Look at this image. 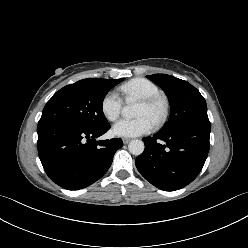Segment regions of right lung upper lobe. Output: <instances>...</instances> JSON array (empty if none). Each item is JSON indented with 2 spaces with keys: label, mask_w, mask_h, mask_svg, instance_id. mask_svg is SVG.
Returning a JSON list of instances; mask_svg holds the SVG:
<instances>
[{
  "label": "right lung upper lobe",
  "mask_w": 248,
  "mask_h": 248,
  "mask_svg": "<svg viewBox=\"0 0 248 248\" xmlns=\"http://www.w3.org/2000/svg\"><path fill=\"white\" fill-rule=\"evenodd\" d=\"M89 79H92V80H98V79H101V78H89Z\"/></svg>",
  "instance_id": "obj_1"
}]
</instances>
